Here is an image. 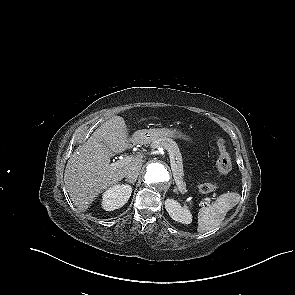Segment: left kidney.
<instances>
[{
    "label": "left kidney",
    "mask_w": 295,
    "mask_h": 295,
    "mask_svg": "<svg viewBox=\"0 0 295 295\" xmlns=\"http://www.w3.org/2000/svg\"><path fill=\"white\" fill-rule=\"evenodd\" d=\"M165 209L170 217L183 224L192 222V215L186 207H182L176 200L167 199L165 201Z\"/></svg>",
    "instance_id": "5707ae66"
}]
</instances>
